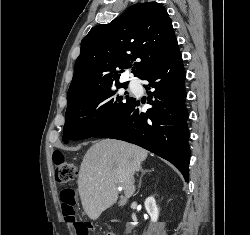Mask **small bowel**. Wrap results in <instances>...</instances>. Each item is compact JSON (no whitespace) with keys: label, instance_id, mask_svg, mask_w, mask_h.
Masks as SVG:
<instances>
[{"label":"small bowel","instance_id":"1","mask_svg":"<svg viewBox=\"0 0 250 235\" xmlns=\"http://www.w3.org/2000/svg\"><path fill=\"white\" fill-rule=\"evenodd\" d=\"M107 235H116L115 233H108Z\"/></svg>","mask_w":250,"mask_h":235}]
</instances>
